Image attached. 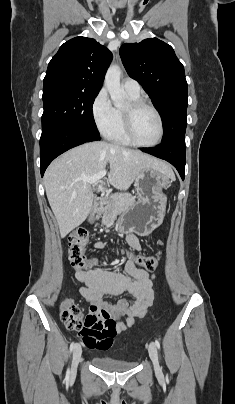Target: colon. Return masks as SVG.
Wrapping results in <instances>:
<instances>
[{"label": "colon", "mask_w": 235, "mask_h": 404, "mask_svg": "<svg viewBox=\"0 0 235 404\" xmlns=\"http://www.w3.org/2000/svg\"><path fill=\"white\" fill-rule=\"evenodd\" d=\"M89 239L86 229H79L68 237L69 259L71 264L78 269H87L94 264V260L85 253V246ZM130 260L147 271H154L160 260V253L155 256H143L130 254ZM60 318L70 329L84 328L87 333H99L105 343H111L115 337L113 332L114 322L105 314H87L84 317L83 310L70 299H64L60 305Z\"/></svg>", "instance_id": "obj_1"}]
</instances>
